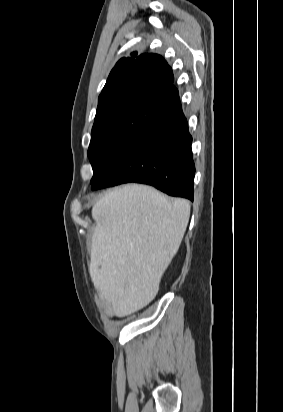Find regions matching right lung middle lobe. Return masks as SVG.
<instances>
[{
	"label": "right lung middle lobe",
	"instance_id": "right-lung-middle-lobe-1",
	"mask_svg": "<svg viewBox=\"0 0 283 412\" xmlns=\"http://www.w3.org/2000/svg\"><path fill=\"white\" fill-rule=\"evenodd\" d=\"M163 111L125 112L95 120L88 157L93 168L91 184L121 157Z\"/></svg>",
	"mask_w": 283,
	"mask_h": 412
}]
</instances>
